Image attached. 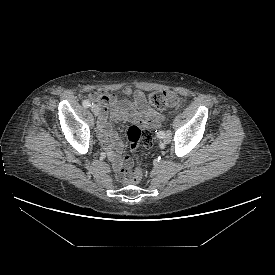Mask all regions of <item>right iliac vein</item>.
I'll return each mask as SVG.
<instances>
[{"label": "right iliac vein", "instance_id": "63e3f726", "mask_svg": "<svg viewBox=\"0 0 275 275\" xmlns=\"http://www.w3.org/2000/svg\"><path fill=\"white\" fill-rule=\"evenodd\" d=\"M91 110H92V112L94 113L95 116H98L99 113H100L99 107L95 104L91 106Z\"/></svg>", "mask_w": 275, "mask_h": 275}]
</instances>
